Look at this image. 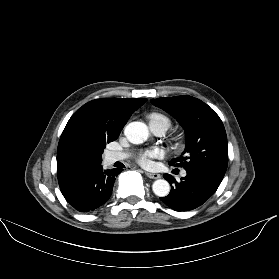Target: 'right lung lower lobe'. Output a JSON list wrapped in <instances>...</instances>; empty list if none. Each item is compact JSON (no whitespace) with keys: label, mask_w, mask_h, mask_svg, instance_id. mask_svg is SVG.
Wrapping results in <instances>:
<instances>
[{"label":"right lung lower lobe","mask_w":279,"mask_h":279,"mask_svg":"<svg viewBox=\"0 0 279 279\" xmlns=\"http://www.w3.org/2000/svg\"><path fill=\"white\" fill-rule=\"evenodd\" d=\"M122 171L104 170L102 165L80 170L58 179L65 199L80 212L93 211L108 201L115 177Z\"/></svg>","instance_id":"obj_1"}]
</instances>
